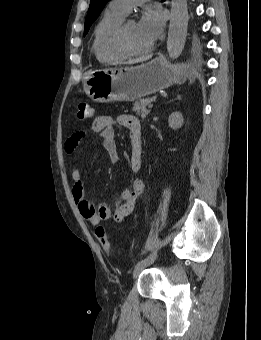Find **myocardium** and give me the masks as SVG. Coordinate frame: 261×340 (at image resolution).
Returning <instances> with one entry per match:
<instances>
[{"mask_svg":"<svg viewBox=\"0 0 261 340\" xmlns=\"http://www.w3.org/2000/svg\"><path fill=\"white\" fill-rule=\"evenodd\" d=\"M127 22L123 21L117 29L115 35L116 48L126 56H138L148 53L153 48L152 45L142 50H135L129 45L126 33Z\"/></svg>","mask_w":261,"mask_h":340,"instance_id":"f54148a6","label":"myocardium"}]
</instances>
